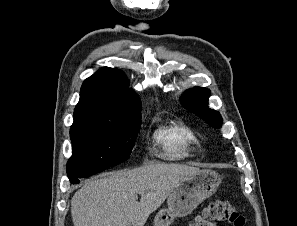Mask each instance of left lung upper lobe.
<instances>
[{
	"mask_svg": "<svg viewBox=\"0 0 297 226\" xmlns=\"http://www.w3.org/2000/svg\"><path fill=\"white\" fill-rule=\"evenodd\" d=\"M210 91L204 87H194L186 91L180 98L183 106L196 113L209 125L219 128L222 124V117L219 112L208 108Z\"/></svg>",
	"mask_w": 297,
	"mask_h": 226,
	"instance_id": "1",
	"label": "left lung upper lobe"
}]
</instances>
